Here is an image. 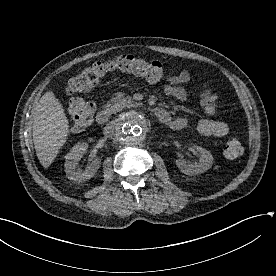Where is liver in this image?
<instances>
[{
	"instance_id": "liver-1",
	"label": "liver",
	"mask_w": 276,
	"mask_h": 276,
	"mask_svg": "<svg viewBox=\"0 0 276 276\" xmlns=\"http://www.w3.org/2000/svg\"><path fill=\"white\" fill-rule=\"evenodd\" d=\"M32 120L36 155L41 165L48 168L69 135L65 110L52 91L46 92L34 106Z\"/></svg>"
}]
</instances>
